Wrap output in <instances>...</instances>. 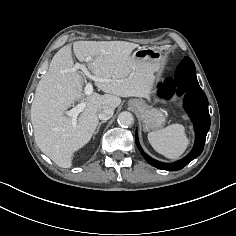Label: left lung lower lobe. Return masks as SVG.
<instances>
[{"label":"left lung lower lobe","instance_id":"left-lung-lower-lobe-1","mask_svg":"<svg viewBox=\"0 0 236 236\" xmlns=\"http://www.w3.org/2000/svg\"><path fill=\"white\" fill-rule=\"evenodd\" d=\"M176 91L178 95L184 92L187 93L184 98V108L194 123L196 136L191 152L183 159L174 163L159 162L152 159L142 150L136 132V145L146 161L156 168L169 171L182 169L202 153L206 135L210 128L208 100L199 86L195 73V65L189 57H185L177 67L174 80L167 79L164 83L159 84V95L162 97L170 98Z\"/></svg>","mask_w":236,"mask_h":236}]
</instances>
